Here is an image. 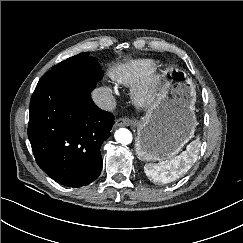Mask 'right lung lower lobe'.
I'll return each instance as SVG.
<instances>
[{"label": "right lung lower lobe", "mask_w": 243, "mask_h": 243, "mask_svg": "<svg viewBox=\"0 0 243 243\" xmlns=\"http://www.w3.org/2000/svg\"><path fill=\"white\" fill-rule=\"evenodd\" d=\"M96 81L38 82L30 102L28 137L39 167L56 182L81 187L102 169L100 147L114 116L90 93Z\"/></svg>", "instance_id": "obj_1"}]
</instances>
